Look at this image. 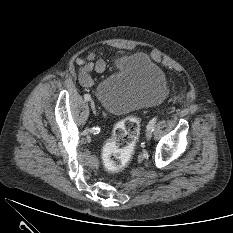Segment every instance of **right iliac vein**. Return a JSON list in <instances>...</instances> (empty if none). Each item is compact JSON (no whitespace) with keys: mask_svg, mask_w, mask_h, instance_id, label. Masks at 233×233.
<instances>
[{"mask_svg":"<svg viewBox=\"0 0 233 233\" xmlns=\"http://www.w3.org/2000/svg\"><path fill=\"white\" fill-rule=\"evenodd\" d=\"M90 106H91L93 113L96 114V106H95V103L93 101L90 102Z\"/></svg>","mask_w":233,"mask_h":233,"instance_id":"obj_1","label":"right iliac vein"}]
</instances>
